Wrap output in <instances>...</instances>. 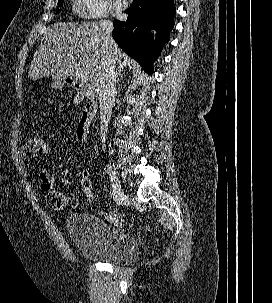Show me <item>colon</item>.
<instances>
[{"label": "colon", "instance_id": "1", "mask_svg": "<svg viewBox=\"0 0 272 303\" xmlns=\"http://www.w3.org/2000/svg\"><path fill=\"white\" fill-rule=\"evenodd\" d=\"M33 150L37 157H44L50 152V144L44 136L33 137ZM46 169V168H42ZM80 184L85 196L92 202H95V196L93 193V186L89 174L83 170L80 173ZM46 204L53 210L61 211L72 205V201L66 198L62 193L58 191H51L45 194Z\"/></svg>", "mask_w": 272, "mask_h": 303}]
</instances>
